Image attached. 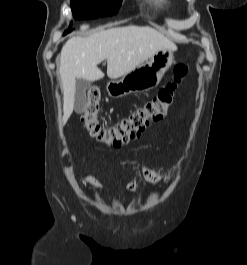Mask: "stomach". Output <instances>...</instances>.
Segmentation results:
<instances>
[{
	"label": "stomach",
	"instance_id": "1",
	"mask_svg": "<svg viewBox=\"0 0 247 265\" xmlns=\"http://www.w3.org/2000/svg\"><path fill=\"white\" fill-rule=\"evenodd\" d=\"M174 52V49H161L152 55L148 61L124 75L122 79L108 82L106 88L109 96L120 98L156 87L165 72L174 63Z\"/></svg>",
	"mask_w": 247,
	"mask_h": 265
}]
</instances>
